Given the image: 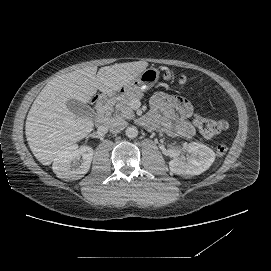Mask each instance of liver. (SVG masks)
Segmentation results:
<instances>
[{"label":"liver","mask_w":271,"mask_h":271,"mask_svg":"<svg viewBox=\"0 0 271 271\" xmlns=\"http://www.w3.org/2000/svg\"><path fill=\"white\" fill-rule=\"evenodd\" d=\"M144 61L101 67H84L51 79L37 95L28 112L25 134L35 158L49 165L68 144L89 134L90 118L75 116L68 100L89 102L97 89L106 93L134 80L145 68Z\"/></svg>","instance_id":"obj_1"}]
</instances>
